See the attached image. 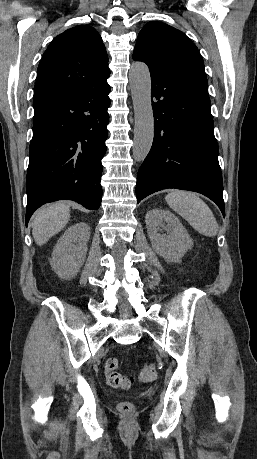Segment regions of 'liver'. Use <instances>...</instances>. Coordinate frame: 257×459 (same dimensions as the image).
<instances>
[{
	"label": "liver",
	"mask_w": 257,
	"mask_h": 459,
	"mask_svg": "<svg viewBox=\"0 0 257 459\" xmlns=\"http://www.w3.org/2000/svg\"><path fill=\"white\" fill-rule=\"evenodd\" d=\"M70 219V209L57 202L38 210L32 220V235L37 245L42 246L59 233Z\"/></svg>",
	"instance_id": "liver-1"
}]
</instances>
